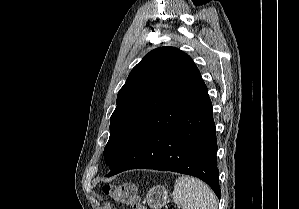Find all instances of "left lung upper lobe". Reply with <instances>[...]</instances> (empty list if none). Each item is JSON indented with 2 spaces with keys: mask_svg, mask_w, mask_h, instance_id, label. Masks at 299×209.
I'll use <instances>...</instances> for the list:
<instances>
[{
  "mask_svg": "<svg viewBox=\"0 0 299 209\" xmlns=\"http://www.w3.org/2000/svg\"><path fill=\"white\" fill-rule=\"evenodd\" d=\"M200 74L186 53L175 47L150 51L130 72L117 96L104 149L112 169L151 117Z\"/></svg>",
  "mask_w": 299,
  "mask_h": 209,
  "instance_id": "obj_1",
  "label": "left lung upper lobe"
}]
</instances>
